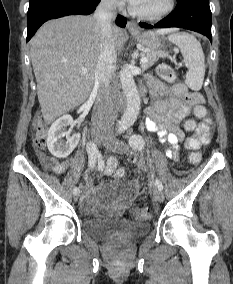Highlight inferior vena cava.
Listing matches in <instances>:
<instances>
[{"label":"inferior vena cava","instance_id":"inferior-vena-cava-1","mask_svg":"<svg viewBox=\"0 0 233 284\" xmlns=\"http://www.w3.org/2000/svg\"><path fill=\"white\" fill-rule=\"evenodd\" d=\"M116 9L117 0H101L94 13L102 37L95 70V87L98 95L92 113V126L93 130L106 134H112L114 128L113 100L116 95L110 82L117 60L112 29L117 15Z\"/></svg>","mask_w":233,"mask_h":284}]
</instances>
